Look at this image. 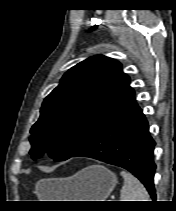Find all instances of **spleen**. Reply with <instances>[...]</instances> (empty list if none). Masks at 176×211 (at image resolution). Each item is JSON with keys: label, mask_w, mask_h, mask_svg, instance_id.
Segmentation results:
<instances>
[{"label": "spleen", "mask_w": 176, "mask_h": 211, "mask_svg": "<svg viewBox=\"0 0 176 211\" xmlns=\"http://www.w3.org/2000/svg\"><path fill=\"white\" fill-rule=\"evenodd\" d=\"M120 174L124 178L120 201H151L146 188L136 177L125 170Z\"/></svg>", "instance_id": "obj_1"}]
</instances>
